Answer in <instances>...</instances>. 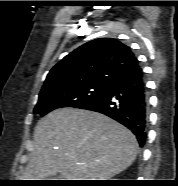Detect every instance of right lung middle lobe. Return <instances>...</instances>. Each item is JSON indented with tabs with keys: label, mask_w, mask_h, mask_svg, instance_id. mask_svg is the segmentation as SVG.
<instances>
[{
	"label": "right lung middle lobe",
	"mask_w": 178,
	"mask_h": 186,
	"mask_svg": "<svg viewBox=\"0 0 178 186\" xmlns=\"http://www.w3.org/2000/svg\"><path fill=\"white\" fill-rule=\"evenodd\" d=\"M109 84L89 83L74 87L40 92L34 113L41 116L63 107H79L100 95Z\"/></svg>",
	"instance_id": "obj_1"
}]
</instances>
